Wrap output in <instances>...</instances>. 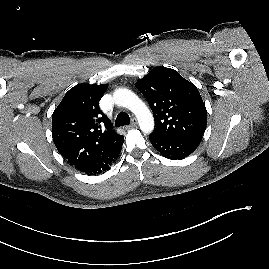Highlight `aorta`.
Instances as JSON below:
<instances>
[{
	"mask_svg": "<svg viewBox=\"0 0 269 269\" xmlns=\"http://www.w3.org/2000/svg\"><path fill=\"white\" fill-rule=\"evenodd\" d=\"M113 98L118 106L127 108L135 114L143 133L152 132L154 129L153 115L147 105L135 93L126 88H120L114 92Z\"/></svg>",
	"mask_w": 269,
	"mask_h": 269,
	"instance_id": "1",
	"label": "aorta"
}]
</instances>
